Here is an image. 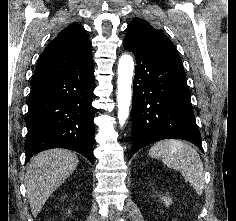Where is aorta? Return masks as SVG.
<instances>
[{"label": "aorta", "instance_id": "obj_1", "mask_svg": "<svg viewBox=\"0 0 236 221\" xmlns=\"http://www.w3.org/2000/svg\"><path fill=\"white\" fill-rule=\"evenodd\" d=\"M134 71L133 58L124 54L120 57L118 63V80H117V103H118V120L121 127L124 126L129 117V108L132 97V76Z\"/></svg>", "mask_w": 236, "mask_h": 221}]
</instances>
